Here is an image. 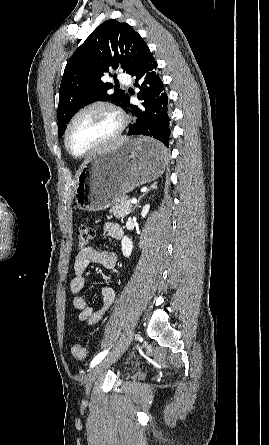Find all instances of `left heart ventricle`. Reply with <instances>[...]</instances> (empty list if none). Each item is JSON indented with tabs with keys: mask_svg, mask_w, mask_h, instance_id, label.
<instances>
[{
	"mask_svg": "<svg viewBox=\"0 0 269 445\" xmlns=\"http://www.w3.org/2000/svg\"><path fill=\"white\" fill-rule=\"evenodd\" d=\"M116 126L115 118L106 110L93 109L82 114L74 123L68 144L74 154H81L110 135Z\"/></svg>",
	"mask_w": 269,
	"mask_h": 445,
	"instance_id": "1",
	"label": "left heart ventricle"
}]
</instances>
